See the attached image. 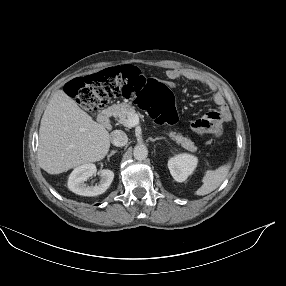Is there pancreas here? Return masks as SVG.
Returning <instances> with one entry per match:
<instances>
[{
    "instance_id": "obj_1",
    "label": "pancreas",
    "mask_w": 286,
    "mask_h": 286,
    "mask_svg": "<svg viewBox=\"0 0 286 286\" xmlns=\"http://www.w3.org/2000/svg\"><path fill=\"white\" fill-rule=\"evenodd\" d=\"M113 116L117 119V121L126 126L131 127L129 125V119L131 114H137L140 116L139 113H136L135 107L132 106L130 103H118L114 104L111 107ZM169 137L176 141L177 144H181L183 148H185L188 151L195 152L197 150V147L195 146L194 142H192L189 138L183 137L181 133L176 132H170Z\"/></svg>"
}]
</instances>
